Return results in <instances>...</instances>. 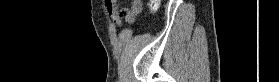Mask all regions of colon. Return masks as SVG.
Listing matches in <instances>:
<instances>
[{
  "label": "colon",
  "instance_id": "1",
  "mask_svg": "<svg viewBox=\"0 0 279 82\" xmlns=\"http://www.w3.org/2000/svg\"><path fill=\"white\" fill-rule=\"evenodd\" d=\"M114 2H115V1H114ZM135 3H136V7L141 8V6H142V1H140V0H135ZM147 3H148V6H149V9H150L151 11H154V10L157 9L158 5L160 4V0H149V1H147Z\"/></svg>",
  "mask_w": 279,
  "mask_h": 82
}]
</instances>
